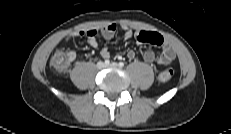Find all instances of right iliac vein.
<instances>
[{
    "label": "right iliac vein",
    "instance_id": "63e3f726",
    "mask_svg": "<svg viewBox=\"0 0 231 134\" xmlns=\"http://www.w3.org/2000/svg\"><path fill=\"white\" fill-rule=\"evenodd\" d=\"M104 67H105V64L103 62L100 61V62L97 63V68L98 69H103Z\"/></svg>",
    "mask_w": 231,
    "mask_h": 134
}]
</instances>
